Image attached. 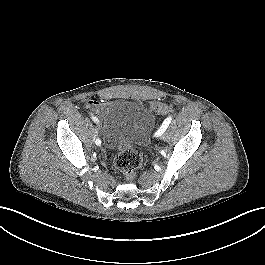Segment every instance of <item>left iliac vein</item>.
Segmentation results:
<instances>
[{"instance_id": "1", "label": "left iliac vein", "mask_w": 265, "mask_h": 265, "mask_svg": "<svg viewBox=\"0 0 265 265\" xmlns=\"http://www.w3.org/2000/svg\"><path fill=\"white\" fill-rule=\"evenodd\" d=\"M162 138L165 139V135H162Z\"/></svg>"}]
</instances>
